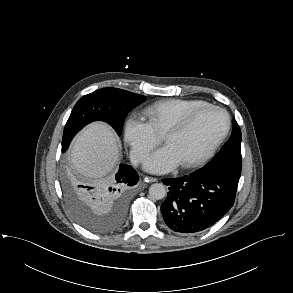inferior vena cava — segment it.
I'll return each mask as SVG.
<instances>
[{
  "label": "inferior vena cava",
  "mask_w": 293,
  "mask_h": 293,
  "mask_svg": "<svg viewBox=\"0 0 293 293\" xmlns=\"http://www.w3.org/2000/svg\"><path fill=\"white\" fill-rule=\"evenodd\" d=\"M144 157L142 155L139 154H135L134 156H132L131 160L132 162L136 165L137 163H139L141 160H143Z\"/></svg>",
  "instance_id": "obj_1"
}]
</instances>
